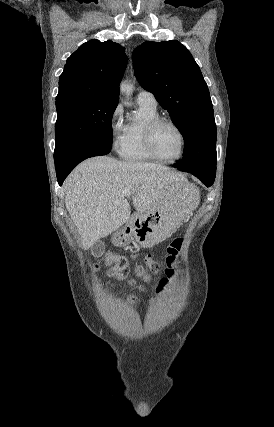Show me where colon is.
Wrapping results in <instances>:
<instances>
[{"mask_svg": "<svg viewBox=\"0 0 274 427\" xmlns=\"http://www.w3.org/2000/svg\"><path fill=\"white\" fill-rule=\"evenodd\" d=\"M145 265L137 267L133 273L132 278L130 280V283L135 285V279L140 276H147L149 273H155L160 271L163 267L168 266L167 260L163 258L162 260L155 259L152 255H146L145 258ZM113 264L115 265V268L113 271L109 272V276L111 278V281H119L120 277L124 272L126 271V266L123 264V258L122 257H113L112 259ZM129 306L135 305V300L133 298H130L128 301Z\"/></svg>", "mask_w": 274, "mask_h": 427, "instance_id": "colon-1", "label": "colon"}]
</instances>
